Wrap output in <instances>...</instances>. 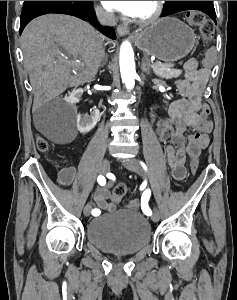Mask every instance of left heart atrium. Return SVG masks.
<instances>
[{"label": "left heart atrium", "instance_id": "obj_1", "mask_svg": "<svg viewBox=\"0 0 237 300\" xmlns=\"http://www.w3.org/2000/svg\"><path fill=\"white\" fill-rule=\"evenodd\" d=\"M142 1H102L104 7L127 16H133Z\"/></svg>", "mask_w": 237, "mask_h": 300}]
</instances>
